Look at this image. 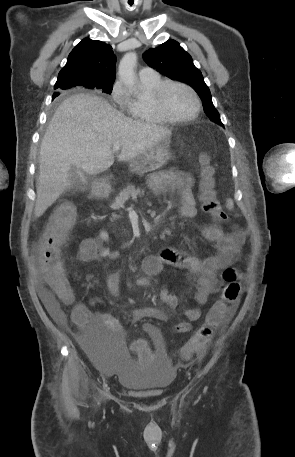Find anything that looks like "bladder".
Masks as SVG:
<instances>
[{
	"label": "bladder",
	"instance_id": "31cf9c89",
	"mask_svg": "<svg viewBox=\"0 0 295 457\" xmlns=\"http://www.w3.org/2000/svg\"><path fill=\"white\" fill-rule=\"evenodd\" d=\"M78 347L81 356H89L98 368L115 374L123 387L146 396L160 394L175 377L173 359L164 345L153 346L152 366H132V357L120 348L122 338H78Z\"/></svg>",
	"mask_w": 295,
	"mask_h": 457
}]
</instances>
